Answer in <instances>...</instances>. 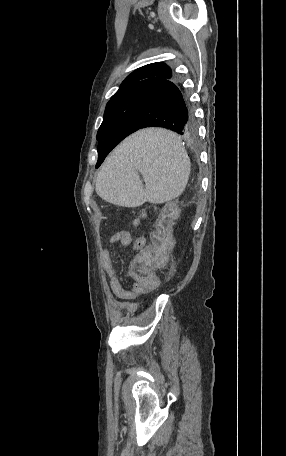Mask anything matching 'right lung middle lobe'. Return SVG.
Segmentation results:
<instances>
[{"label":"right lung middle lobe","instance_id":"right-lung-middle-lobe-1","mask_svg":"<svg viewBox=\"0 0 286 456\" xmlns=\"http://www.w3.org/2000/svg\"><path fill=\"white\" fill-rule=\"evenodd\" d=\"M132 133L128 108L123 98L108 102L103 122L97 133L98 168L107 154L126 136Z\"/></svg>","mask_w":286,"mask_h":456}]
</instances>
